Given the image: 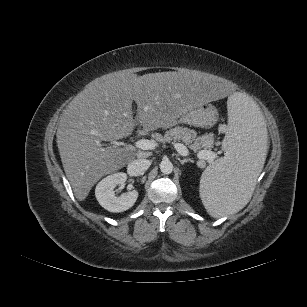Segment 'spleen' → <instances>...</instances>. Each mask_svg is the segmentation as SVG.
<instances>
[{
	"mask_svg": "<svg viewBox=\"0 0 307 307\" xmlns=\"http://www.w3.org/2000/svg\"><path fill=\"white\" fill-rule=\"evenodd\" d=\"M228 118L225 156L200 179L202 203L215 218L234 214L249 202L267 157L268 132L256 104L236 93L228 100Z\"/></svg>",
	"mask_w": 307,
	"mask_h": 307,
	"instance_id": "obj_1",
	"label": "spleen"
}]
</instances>
